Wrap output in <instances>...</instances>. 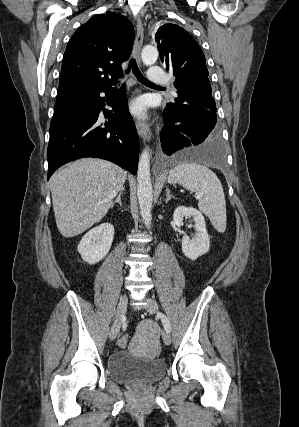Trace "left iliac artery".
Segmentation results:
<instances>
[{
    "label": "left iliac artery",
    "mask_w": 299,
    "mask_h": 427,
    "mask_svg": "<svg viewBox=\"0 0 299 427\" xmlns=\"http://www.w3.org/2000/svg\"><path fill=\"white\" fill-rule=\"evenodd\" d=\"M159 316L161 317V321L164 325L165 330L170 332L171 327H170V323H169V320L167 319V317L162 313H160Z\"/></svg>",
    "instance_id": "1"
}]
</instances>
